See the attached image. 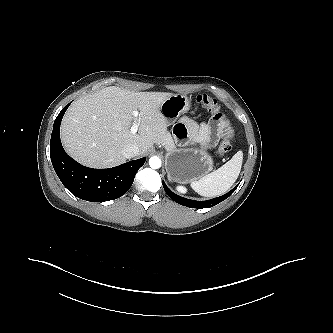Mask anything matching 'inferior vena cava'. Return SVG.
Here are the masks:
<instances>
[{
    "mask_svg": "<svg viewBox=\"0 0 333 333\" xmlns=\"http://www.w3.org/2000/svg\"><path fill=\"white\" fill-rule=\"evenodd\" d=\"M122 154L126 158H132L140 154V149L135 144H128L123 147Z\"/></svg>",
    "mask_w": 333,
    "mask_h": 333,
    "instance_id": "inferior-vena-cava-1",
    "label": "inferior vena cava"
}]
</instances>
